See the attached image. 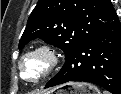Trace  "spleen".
Masks as SVG:
<instances>
[{
  "mask_svg": "<svg viewBox=\"0 0 121 94\" xmlns=\"http://www.w3.org/2000/svg\"><path fill=\"white\" fill-rule=\"evenodd\" d=\"M103 94H108L107 92H103Z\"/></svg>",
  "mask_w": 121,
  "mask_h": 94,
  "instance_id": "3e777b00",
  "label": "spleen"
}]
</instances>
